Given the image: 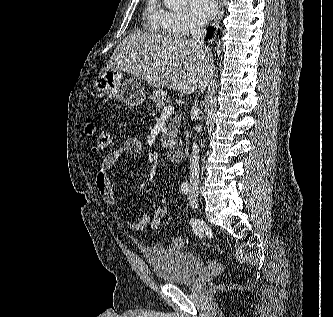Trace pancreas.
Wrapping results in <instances>:
<instances>
[{"label": "pancreas", "instance_id": "obj_1", "mask_svg": "<svg viewBox=\"0 0 333 317\" xmlns=\"http://www.w3.org/2000/svg\"><path fill=\"white\" fill-rule=\"evenodd\" d=\"M150 99L155 103L156 110L163 108L166 102H170L167 92L163 90L153 91L152 95H150ZM180 123H181V115H176L172 118L171 122L166 128L165 134L162 136L164 145L177 136L178 132L177 127L180 126Z\"/></svg>", "mask_w": 333, "mask_h": 317}]
</instances>
